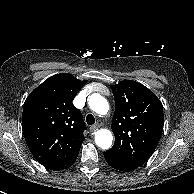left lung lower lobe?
<instances>
[{"instance_id":"left-lung-lower-lobe-1","label":"left lung lower lobe","mask_w":194,"mask_h":194,"mask_svg":"<svg viewBox=\"0 0 194 194\" xmlns=\"http://www.w3.org/2000/svg\"><path fill=\"white\" fill-rule=\"evenodd\" d=\"M104 157L105 160L107 161V163L114 169L119 170V171H124V172H128V171H132L136 168H138L139 166L124 162L119 160L118 158L104 152Z\"/></svg>"}]
</instances>
